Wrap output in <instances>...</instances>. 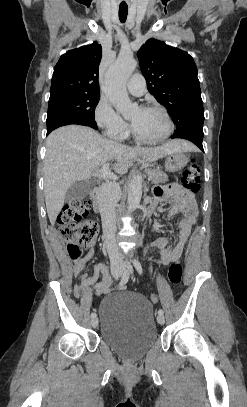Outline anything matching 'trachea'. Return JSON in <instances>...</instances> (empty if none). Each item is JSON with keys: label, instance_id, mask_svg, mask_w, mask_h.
Segmentation results:
<instances>
[{"label": "trachea", "instance_id": "1", "mask_svg": "<svg viewBox=\"0 0 247 407\" xmlns=\"http://www.w3.org/2000/svg\"><path fill=\"white\" fill-rule=\"evenodd\" d=\"M128 14V7L127 6H120L119 7V19L122 23H124L127 19Z\"/></svg>", "mask_w": 247, "mask_h": 407}]
</instances>
